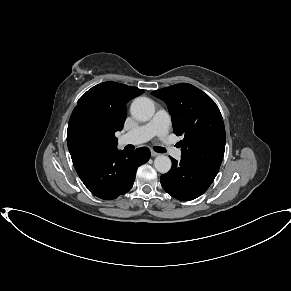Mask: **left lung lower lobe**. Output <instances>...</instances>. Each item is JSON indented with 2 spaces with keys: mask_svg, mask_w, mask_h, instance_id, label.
<instances>
[{
  "mask_svg": "<svg viewBox=\"0 0 291 291\" xmlns=\"http://www.w3.org/2000/svg\"><path fill=\"white\" fill-rule=\"evenodd\" d=\"M171 170L160 177L164 190L182 201L193 200L202 195L212 184L218 171L195 166L183 159L174 158Z\"/></svg>",
  "mask_w": 291,
  "mask_h": 291,
  "instance_id": "left-lung-lower-lobe-1",
  "label": "left lung lower lobe"
}]
</instances>
